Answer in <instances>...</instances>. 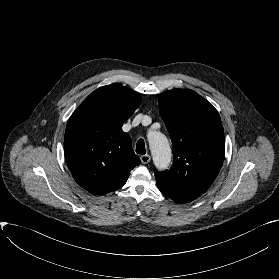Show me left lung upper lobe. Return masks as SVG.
Here are the masks:
<instances>
[{
	"instance_id": "5c2ea615",
	"label": "left lung upper lobe",
	"mask_w": 279,
	"mask_h": 279,
	"mask_svg": "<svg viewBox=\"0 0 279 279\" xmlns=\"http://www.w3.org/2000/svg\"><path fill=\"white\" fill-rule=\"evenodd\" d=\"M159 111L171 137L174 159L169 171L155 172L157 185L196 199L211 186L224 160L220 116L189 89L161 93Z\"/></svg>"
}]
</instances>
